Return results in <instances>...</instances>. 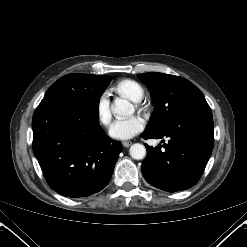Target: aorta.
Wrapping results in <instances>:
<instances>
[{"label": "aorta", "mask_w": 247, "mask_h": 247, "mask_svg": "<svg viewBox=\"0 0 247 247\" xmlns=\"http://www.w3.org/2000/svg\"><path fill=\"white\" fill-rule=\"evenodd\" d=\"M112 111L116 116L123 117L133 114V105L125 99H117L112 105ZM130 155L133 159L141 160L146 156V148L140 143H135L130 147Z\"/></svg>", "instance_id": "762f6f07"}]
</instances>
